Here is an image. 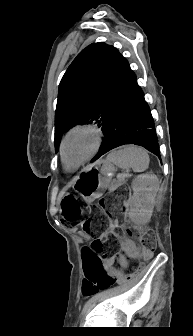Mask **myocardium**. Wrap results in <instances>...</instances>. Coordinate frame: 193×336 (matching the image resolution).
Segmentation results:
<instances>
[{
    "label": "myocardium",
    "mask_w": 193,
    "mask_h": 336,
    "mask_svg": "<svg viewBox=\"0 0 193 336\" xmlns=\"http://www.w3.org/2000/svg\"><path fill=\"white\" fill-rule=\"evenodd\" d=\"M78 131H87L90 132L91 134H93L94 139H95V143H94V147L92 149V151L90 152V154L83 159L81 162H79L78 164L72 166L70 165L65 157V144L68 140V138L75 132ZM102 141H103V134L101 132L100 129H98L97 127L90 125V124H78L75 125L74 127H72L71 129H69L66 134L64 135V137L61 140L60 143V156H61V160L64 164V166L70 170H76L77 168H79L80 166L84 165L86 162H88L89 160H91L99 151L101 145H102Z\"/></svg>",
    "instance_id": "f54148a6"
}]
</instances>
